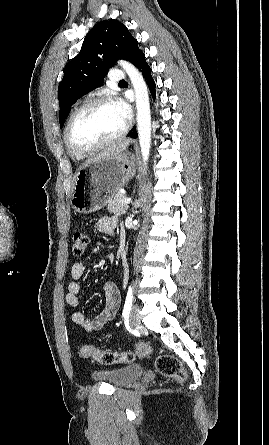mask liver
<instances>
[{"label":"liver","instance_id":"liver-1","mask_svg":"<svg viewBox=\"0 0 269 445\" xmlns=\"http://www.w3.org/2000/svg\"><path fill=\"white\" fill-rule=\"evenodd\" d=\"M130 142L131 141L129 139H125V140H123V141H121V142H119L117 144L109 146L107 149H105L103 152H101L99 155H97L93 159L89 160L83 166H85L88 163H91L93 161H97V160H99L101 158H111V157L119 156L127 148V146L130 144Z\"/></svg>","mask_w":269,"mask_h":445}]
</instances>
